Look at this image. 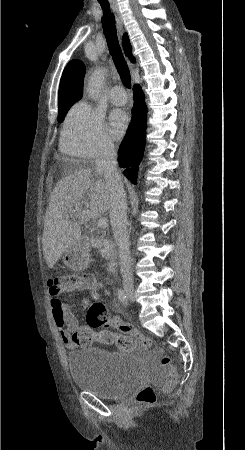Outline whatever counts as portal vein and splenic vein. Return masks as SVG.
<instances>
[{
    "label": "portal vein and splenic vein",
    "instance_id": "obj_1",
    "mask_svg": "<svg viewBox=\"0 0 245 450\" xmlns=\"http://www.w3.org/2000/svg\"><path fill=\"white\" fill-rule=\"evenodd\" d=\"M79 209V207H76L75 208V210H78ZM108 226V221H107V219L106 218H100L99 220H98V227L99 228H106Z\"/></svg>",
    "mask_w": 245,
    "mask_h": 450
}]
</instances>
